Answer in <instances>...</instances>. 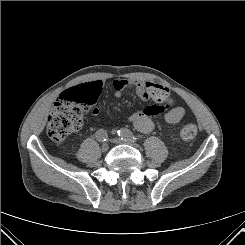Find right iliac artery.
<instances>
[{"instance_id": "1", "label": "right iliac artery", "mask_w": 245, "mask_h": 245, "mask_svg": "<svg viewBox=\"0 0 245 245\" xmlns=\"http://www.w3.org/2000/svg\"><path fill=\"white\" fill-rule=\"evenodd\" d=\"M108 134L104 129H99L96 132V138L99 142H104L107 140Z\"/></svg>"}]
</instances>
